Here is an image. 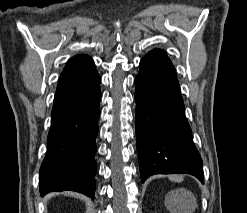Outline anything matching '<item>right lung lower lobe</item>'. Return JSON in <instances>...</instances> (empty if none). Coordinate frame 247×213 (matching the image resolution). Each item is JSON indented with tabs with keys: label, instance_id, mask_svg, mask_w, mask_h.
Wrapping results in <instances>:
<instances>
[{
	"label": "right lung lower lobe",
	"instance_id": "98d812e1",
	"mask_svg": "<svg viewBox=\"0 0 247 213\" xmlns=\"http://www.w3.org/2000/svg\"><path fill=\"white\" fill-rule=\"evenodd\" d=\"M100 98V77L94 66L60 77L40 168L41 195L73 190L94 198Z\"/></svg>",
	"mask_w": 247,
	"mask_h": 213
}]
</instances>
